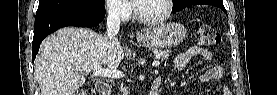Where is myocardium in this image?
Wrapping results in <instances>:
<instances>
[{"label": "myocardium", "instance_id": "myocardium-1", "mask_svg": "<svg viewBox=\"0 0 277 95\" xmlns=\"http://www.w3.org/2000/svg\"><path fill=\"white\" fill-rule=\"evenodd\" d=\"M138 1H141V0H137L132 3V10H133L134 18L137 21H139L143 24H147V25H157V24L164 22L166 19L169 18L170 14L172 12V9H173V1L172 0H163L165 3V6H166L164 14L159 17H155V18H145V17L141 16L138 12V9H137Z\"/></svg>", "mask_w": 277, "mask_h": 95}]
</instances>
